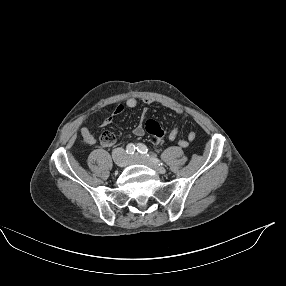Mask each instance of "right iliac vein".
Returning a JSON list of instances; mask_svg holds the SVG:
<instances>
[{
  "mask_svg": "<svg viewBox=\"0 0 286 286\" xmlns=\"http://www.w3.org/2000/svg\"><path fill=\"white\" fill-rule=\"evenodd\" d=\"M126 161L125 160H119V161H117V165L119 166V167H125L126 166Z\"/></svg>",
  "mask_w": 286,
  "mask_h": 286,
  "instance_id": "1",
  "label": "right iliac vein"
}]
</instances>
